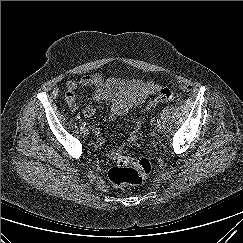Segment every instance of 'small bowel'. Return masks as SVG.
<instances>
[{
    "mask_svg": "<svg viewBox=\"0 0 243 243\" xmlns=\"http://www.w3.org/2000/svg\"><path fill=\"white\" fill-rule=\"evenodd\" d=\"M94 88L95 101H108L111 103L109 118L116 120L125 117L129 111L143 104L149 95L159 91L160 85L153 80L123 79L118 77H105L99 73L88 74L66 83L65 99L72 111L79 109L76 92L80 88ZM83 114L93 119L96 111L93 107H86ZM92 131L96 136L97 146L104 144L101 129L98 124H92Z\"/></svg>",
    "mask_w": 243,
    "mask_h": 243,
    "instance_id": "1",
    "label": "small bowel"
}]
</instances>
